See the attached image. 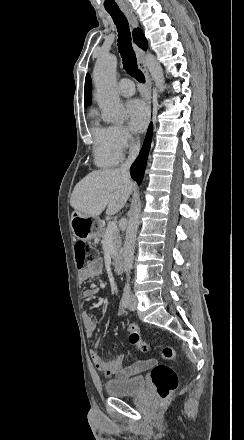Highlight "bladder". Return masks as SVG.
Masks as SVG:
<instances>
[{
	"label": "bladder",
	"mask_w": 244,
	"mask_h": 440,
	"mask_svg": "<svg viewBox=\"0 0 244 440\" xmlns=\"http://www.w3.org/2000/svg\"><path fill=\"white\" fill-rule=\"evenodd\" d=\"M106 393L118 396L139 395L145 389L144 377H134L130 380H114L106 382Z\"/></svg>",
	"instance_id": "bladder-1"
}]
</instances>
